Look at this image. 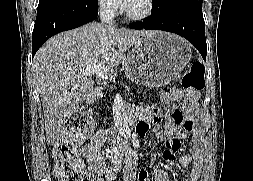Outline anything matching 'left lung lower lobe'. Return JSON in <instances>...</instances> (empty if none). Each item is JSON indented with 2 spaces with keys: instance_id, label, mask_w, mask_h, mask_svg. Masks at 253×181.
Returning <instances> with one entry per match:
<instances>
[{
  "instance_id": "left-lung-lower-lobe-1",
  "label": "left lung lower lobe",
  "mask_w": 253,
  "mask_h": 181,
  "mask_svg": "<svg viewBox=\"0 0 253 181\" xmlns=\"http://www.w3.org/2000/svg\"><path fill=\"white\" fill-rule=\"evenodd\" d=\"M131 29L163 30L190 41L206 60L207 45L202 5L178 4L166 11L151 14L143 21L130 23Z\"/></svg>"
}]
</instances>
